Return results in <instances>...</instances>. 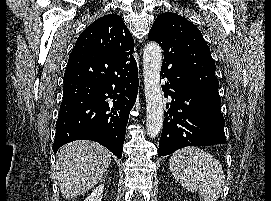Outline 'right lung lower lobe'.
I'll return each mask as SVG.
<instances>
[{
	"label": "right lung lower lobe",
	"mask_w": 271,
	"mask_h": 201,
	"mask_svg": "<svg viewBox=\"0 0 271 201\" xmlns=\"http://www.w3.org/2000/svg\"><path fill=\"white\" fill-rule=\"evenodd\" d=\"M137 92L135 60L127 62L91 50L72 51L64 74L54 152L71 141L92 140L121 158Z\"/></svg>",
	"instance_id": "98d812e1"
}]
</instances>
